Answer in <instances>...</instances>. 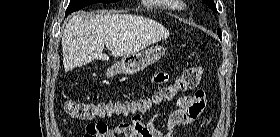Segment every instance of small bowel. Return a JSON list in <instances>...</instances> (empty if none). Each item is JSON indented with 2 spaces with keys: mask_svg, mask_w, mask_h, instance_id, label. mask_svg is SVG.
Masks as SVG:
<instances>
[{
  "mask_svg": "<svg viewBox=\"0 0 280 137\" xmlns=\"http://www.w3.org/2000/svg\"><path fill=\"white\" fill-rule=\"evenodd\" d=\"M168 76L159 73L153 77L155 83H163ZM175 109L167 116L165 126L159 129L156 122L159 115H154L144 121L141 115L132 117L130 123H120L115 128H109L106 123H89L85 128L84 137H119L124 133H137L138 137H171L177 126L196 122L206 107V92L198 88L192 95L179 97Z\"/></svg>",
  "mask_w": 280,
  "mask_h": 137,
  "instance_id": "obj_1",
  "label": "small bowel"
}]
</instances>
